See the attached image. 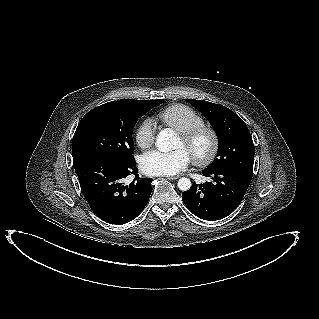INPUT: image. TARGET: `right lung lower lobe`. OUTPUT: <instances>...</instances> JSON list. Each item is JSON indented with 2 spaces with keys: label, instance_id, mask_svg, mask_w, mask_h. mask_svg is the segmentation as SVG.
<instances>
[{
  "label": "right lung lower lobe",
  "instance_id": "right-lung-lower-lobe-1",
  "mask_svg": "<svg viewBox=\"0 0 319 319\" xmlns=\"http://www.w3.org/2000/svg\"><path fill=\"white\" fill-rule=\"evenodd\" d=\"M135 160L119 162L95 158L77 165L75 172L85 199L95 215L110 224H124L135 219L151 194L150 178H139ZM134 174L129 184L124 178Z\"/></svg>",
  "mask_w": 319,
  "mask_h": 319
}]
</instances>
